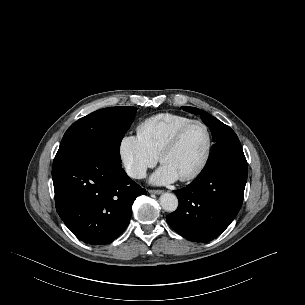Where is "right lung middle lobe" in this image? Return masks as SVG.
Masks as SVG:
<instances>
[{
    "label": "right lung middle lobe",
    "mask_w": 305,
    "mask_h": 305,
    "mask_svg": "<svg viewBox=\"0 0 305 305\" xmlns=\"http://www.w3.org/2000/svg\"><path fill=\"white\" fill-rule=\"evenodd\" d=\"M136 111V107H110L80 118L64 134L55 157L82 150H97L121 163L120 144Z\"/></svg>",
    "instance_id": "1"
}]
</instances>
